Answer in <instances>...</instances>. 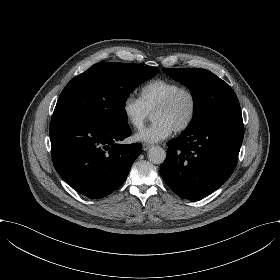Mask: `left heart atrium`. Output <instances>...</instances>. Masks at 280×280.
<instances>
[{"instance_id": "39dd6f15", "label": "left heart atrium", "mask_w": 280, "mask_h": 280, "mask_svg": "<svg viewBox=\"0 0 280 280\" xmlns=\"http://www.w3.org/2000/svg\"><path fill=\"white\" fill-rule=\"evenodd\" d=\"M174 130L175 128L165 120L157 119L148 127L136 132L133 137L138 142L157 143L171 136Z\"/></svg>"}]
</instances>
